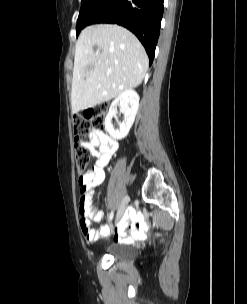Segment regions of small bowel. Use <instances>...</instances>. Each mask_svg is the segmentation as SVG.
<instances>
[{
	"mask_svg": "<svg viewBox=\"0 0 247 304\" xmlns=\"http://www.w3.org/2000/svg\"><path fill=\"white\" fill-rule=\"evenodd\" d=\"M85 146L96 158L91 169L85 172L79 179L80 187L85 189V203L88 206L94 190L102 184L105 178L104 168L109 164L117 149V142L101 130H94L87 137ZM84 219L81 220V230L88 242H95L110 233L107 225H101L98 229L91 227V221L100 222L103 214L101 211L92 210L89 206L82 212ZM148 224L135 212L128 214V219L122 222L114 236L115 241L120 243H132L145 238V230Z\"/></svg>",
	"mask_w": 247,
	"mask_h": 304,
	"instance_id": "small-bowel-1",
	"label": "small bowel"
}]
</instances>
